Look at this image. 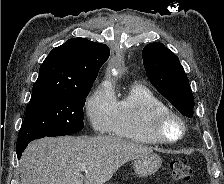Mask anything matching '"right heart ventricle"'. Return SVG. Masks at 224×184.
Instances as JSON below:
<instances>
[{
    "label": "right heart ventricle",
    "instance_id": "obj_1",
    "mask_svg": "<svg viewBox=\"0 0 224 184\" xmlns=\"http://www.w3.org/2000/svg\"><path fill=\"white\" fill-rule=\"evenodd\" d=\"M166 109V104L151 89L134 84L115 99L110 132L141 144H157L149 132L150 119L154 112Z\"/></svg>",
    "mask_w": 224,
    "mask_h": 184
}]
</instances>
